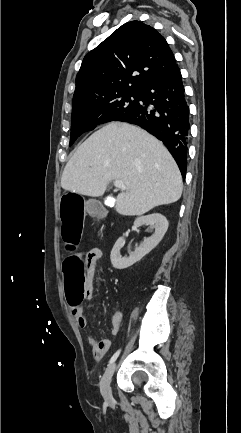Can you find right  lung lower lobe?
<instances>
[{"label": "right lung lower lobe", "instance_id": "98d812e1", "mask_svg": "<svg viewBox=\"0 0 241 433\" xmlns=\"http://www.w3.org/2000/svg\"><path fill=\"white\" fill-rule=\"evenodd\" d=\"M136 108L119 121L136 124L168 148L183 176L186 174L189 107L177 64L141 88Z\"/></svg>", "mask_w": 241, "mask_h": 433}]
</instances>
